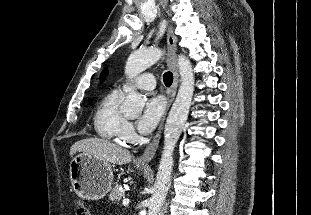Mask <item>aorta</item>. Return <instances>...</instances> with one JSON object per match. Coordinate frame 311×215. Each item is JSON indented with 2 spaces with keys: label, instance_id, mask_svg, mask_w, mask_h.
Returning a JSON list of instances; mask_svg holds the SVG:
<instances>
[{
  "label": "aorta",
  "instance_id": "1",
  "mask_svg": "<svg viewBox=\"0 0 311 215\" xmlns=\"http://www.w3.org/2000/svg\"><path fill=\"white\" fill-rule=\"evenodd\" d=\"M163 52L158 48L136 50L130 54L125 65V73L129 79L136 77L157 62ZM181 77L180 87L172 108L168 114L164 129V147L158 166L154 190L149 200L148 215H160L171 184L173 170V151L187 121L194 93V73L190 61L179 55L177 59ZM145 105V99L131 91L121 106V111L128 117L139 115Z\"/></svg>",
  "mask_w": 311,
  "mask_h": 215
}]
</instances>
